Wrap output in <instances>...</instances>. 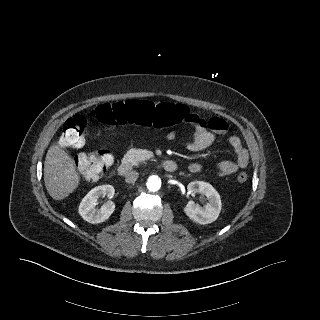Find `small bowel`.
I'll return each mask as SVG.
<instances>
[{
  "instance_id": "1",
  "label": "small bowel",
  "mask_w": 320,
  "mask_h": 320,
  "mask_svg": "<svg viewBox=\"0 0 320 320\" xmlns=\"http://www.w3.org/2000/svg\"><path fill=\"white\" fill-rule=\"evenodd\" d=\"M184 113L183 121L193 127L192 139L185 145L186 149L191 152H201L207 149L215 142L218 134H223L227 130V123L221 118L212 117L209 120H205L198 114L190 112L186 107H184ZM175 137L176 134L174 132L167 135L169 140H173ZM229 144L236 159L219 162L217 169L221 176L234 174L239 169L245 168L249 162L248 152L238 136H231ZM201 169L202 166L197 162H193L188 166L189 172L193 174L199 173Z\"/></svg>"
}]
</instances>
